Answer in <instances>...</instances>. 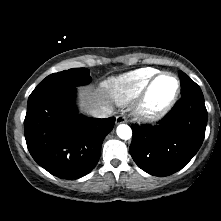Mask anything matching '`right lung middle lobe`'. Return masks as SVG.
<instances>
[{
	"instance_id": "right-lung-middle-lobe-1",
	"label": "right lung middle lobe",
	"mask_w": 221,
	"mask_h": 221,
	"mask_svg": "<svg viewBox=\"0 0 221 221\" xmlns=\"http://www.w3.org/2000/svg\"><path fill=\"white\" fill-rule=\"evenodd\" d=\"M91 81L89 70L86 68L69 69L47 76L30 94L29 99L35 98L45 92L76 87L88 84Z\"/></svg>"
}]
</instances>
